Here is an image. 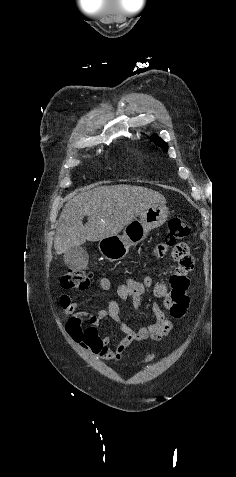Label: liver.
<instances>
[{
  "label": "liver",
  "instance_id": "6515ba94",
  "mask_svg": "<svg viewBox=\"0 0 236 477\" xmlns=\"http://www.w3.org/2000/svg\"><path fill=\"white\" fill-rule=\"evenodd\" d=\"M165 203L162 194L141 186H98L77 194L60 214L54 238L56 254L86 241L115 236L149 207ZM85 216H88V222L83 225Z\"/></svg>",
  "mask_w": 236,
  "mask_h": 477
}]
</instances>
